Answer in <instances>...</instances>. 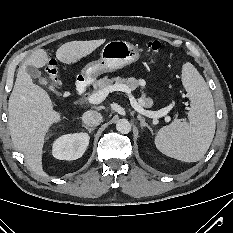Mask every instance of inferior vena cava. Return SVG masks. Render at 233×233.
I'll return each instance as SVG.
<instances>
[{
	"mask_svg": "<svg viewBox=\"0 0 233 233\" xmlns=\"http://www.w3.org/2000/svg\"><path fill=\"white\" fill-rule=\"evenodd\" d=\"M82 121L86 126L95 127L102 122V116L97 111H86L82 116Z\"/></svg>",
	"mask_w": 233,
	"mask_h": 233,
	"instance_id": "inferior-vena-cava-1",
	"label": "inferior vena cava"
}]
</instances>
